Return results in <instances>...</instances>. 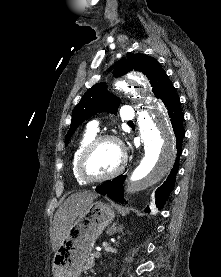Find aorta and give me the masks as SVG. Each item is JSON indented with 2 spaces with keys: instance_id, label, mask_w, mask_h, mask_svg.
<instances>
[{
  "instance_id": "aorta-1",
  "label": "aorta",
  "mask_w": 221,
  "mask_h": 277,
  "mask_svg": "<svg viewBox=\"0 0 221 277\" xmlns=\"http://www.w3.org/2000/svg\"><path fill=\"white\" fill-rule=\"evenodd\" d=\"M142 82L139 74L132 73L116 82L115 87L136 98L135 85ZM138 125L144 143V157L132 172L130 192L136 193L152 186L171 169L175 157L174 133L166 111L159 104L138 112Z\"/></svg>"
}]
</instances>
